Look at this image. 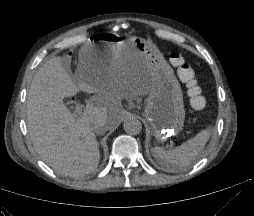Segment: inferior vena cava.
<instances>
[{"mask_svg":"<svg viewBox=\"0 0 254 216\" xmlns=\"http://www.w3.org/2000/svg\"><path fill=\"white\" fill-rule=\"evenodd\" d=\"M92 128L97 133H102L107 130L106 120L98 119L92 124Z\"/></svg>","mask_w":254,"mask_h":216,"instance_id":"obj_1","label":"inferior vena cava"}]
</instances>
